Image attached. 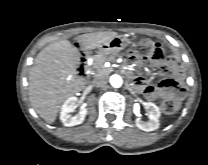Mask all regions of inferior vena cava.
<instances>
[{
  "label": "inferior vena cava",
  "instance_id": "inferior-vena-cava-1",
  "mask_svg": "<svg viewBox=\"0 0 208 165\" xmlns=\"http://www.w3.org/2000/svg\"><path fill=\"white\" fill-rule=\"evenodd\" d=\"M106 83V78L103 76H98L93 80V84L97 86L104 85Z\"/></svg>",
  "mask_w": 208,
  "mask_h": 165
}]
</instances>
